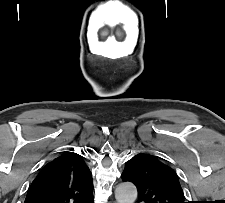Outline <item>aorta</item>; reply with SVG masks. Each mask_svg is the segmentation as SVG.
<instances>
[{
  "instance_id": "obj_1",
  "label": "aorta",
  "mask_w": 225,
  "mask_h": 203,
  "mask_svg": "<svg viewBox=\"0 0 225 203\" xmlns=\"http://www.w3.org/2000/svg\"><path fill=\"white\" fill-rule=\"evenodd\" d=\"M117 203H134L137 198V189L130 182L121 183L115 190Z\"/></svg>"
}]
</instances>
